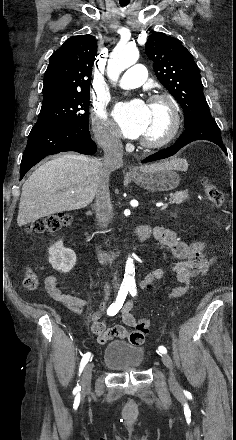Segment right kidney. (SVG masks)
<instances>
[{
  "mask_svg": "<svg viewBox=\"0 0 236 440\" xmlns=\"http://www.w3.org/2000/svg\"><path fill=\"white\" fill-rule=\"evenodd\" d=\"M49 263L60 272H70L76 264V254L72 249L64 248L62 240L49 248Z\"/></svg>",
  "mask_w": 236,
  "mask_h": 440,
  "instance_id": "obj_1",
  "label": "right kidney"
}]
</instances>
